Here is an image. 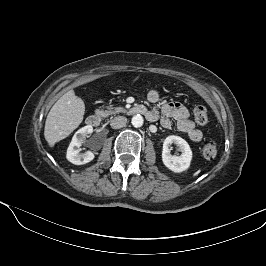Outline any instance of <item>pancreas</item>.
<instances>
[{
	"label": "pancreas",
	"instance_id": "pancreas-1",
	"mask_svg": "<svg viewBox=\"0 0 266 266\" xmlns=\"http://www.w3.org/2000/svg\"><path fill=\"white\" fill-rule=\"evenodd\" d=\"M120 112H125V110L122 108V107H107L106 110L104 109H97L95 111V113L99 116H102V117H107L109 115H112V114H117V113H120Z\"/></svg>",
	"mask_w": 266,
	"mask_h": 266
}]
</instances>
